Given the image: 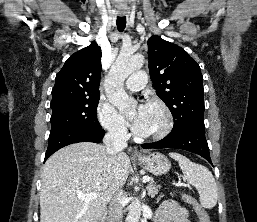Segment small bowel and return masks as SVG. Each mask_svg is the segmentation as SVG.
Listing matches in <instances>:
<instances>
[{
  "instance_id": "small-bowel-1",
  "label": "small bowel",
  "mask_w": 257,
  "mask_h": 222,
  "mask_svg": "<svg viewBox=\"0 0 257 222\" xmlns=\"http://www.w3.org/2000/svg\"><path fill=\"white\" fill-rule=\"evenodd\" d=\"M156 222H191L188 211L176 202L165 201L158 211Z\"/></svg>"
}]
</instances>
